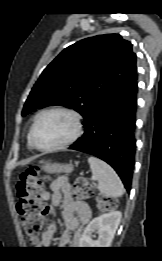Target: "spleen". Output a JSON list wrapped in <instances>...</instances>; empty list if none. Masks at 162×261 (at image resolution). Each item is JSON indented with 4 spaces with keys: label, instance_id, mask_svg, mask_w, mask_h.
<instances>
[{
    "label": "spleen",
    "instance_id": "obj_1",
    "mask_svg": "<svg viewBox=\"0 0 162 261\" xmlns=\"http://www.w3.org/2000/svg\"><path fill=\"white\" fill-rule=\"evenodd\" d=\"M93 178L98 181V190L101 194L111 197H121L124 186L114 169L106 162L90 156L88 158Z\"/></svg>",
    "mask_w": 162,
    "mask_h": 261
}]
</instances>
